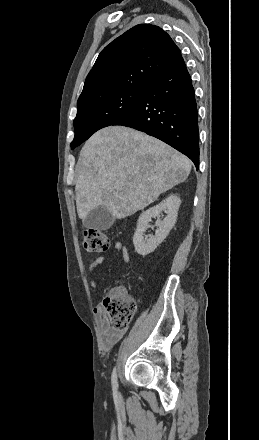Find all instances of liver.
<instances>
[{"instance_id": "obj_1", "label": "liver", "mask_w": 259, "mask_h": 440, "mask_svg": "<svg viewBox=\"0 0 259 440\" xmlns=\"http://www.w3.org/2000/svg\"><path fill=\"white\" fill-rule=\"evenodd\" d=\"M192 163L166 143L124 126L97 131L84 144L76 166L80 219L98 207L123 219L185 181Z\"/></svg>"}]
</instances>
